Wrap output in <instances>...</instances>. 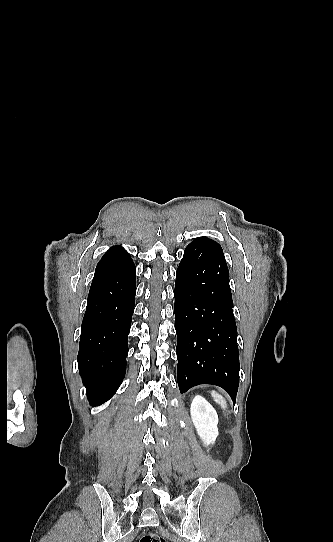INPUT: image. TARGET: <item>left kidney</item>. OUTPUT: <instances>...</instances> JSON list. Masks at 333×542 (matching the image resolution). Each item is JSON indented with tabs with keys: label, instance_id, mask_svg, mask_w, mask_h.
<instances>
[{
	"label": "left kidney",
	"instance_id": "obj_1",
	"mask_svg": "<svg viewBox=\"0 0 333 542\" xmlns=\"http://www.w3.org/2000/svg\"><path fill=\"white\" fill-rule=\"evenodd\" d=\"M190 414L197 434L205 446L214 444L218 436V416L213 406L202 396H195L192 400Z\"/></svg>",
	"mask_w": 333,
	"mask_h": 542
}]
</instances>
